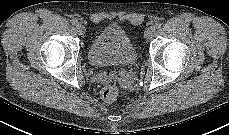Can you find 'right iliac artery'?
I'll return each mask as SVG.
<instances>
[{"instance_id":"82829eb1","label":"right iliac artery","mask_w":229,"mask_h":135,"mask_svg":"<svg viewBox=\"0 0 229 135\" xmlns=\"http://www.w3.org/2000/svg\"><path fill=\"white\" fill-rule=\"evenodd\" d=\"M71 23H72V25H75V26H77L79 24L77 19H72Z\"/></svg>"}]
</instances>
